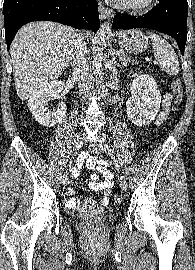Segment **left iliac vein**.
Segmentation results:
<instances>
[{
	"label": "left iliac vein",
	"mask_w": 195,
	"mask_h": 270,
	"mask_svg": "<svg viewBox=\"0 0 195 270\" xmlns=\"http://www.w3.org/2000/svg\"><path fill=\"white\" fill-rule=\"evenodd\" d=\"M104 146L105 145H104L103 141L101 139H98L96 142L90 143L89 148L95 153L102 154L105 152ZM119 183H120L121 189L123 191H125L127 189V181H126L124 176L120 177Z\"/></svg>",
	"instance_id": "1"
}]
</instances>
